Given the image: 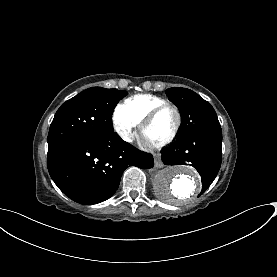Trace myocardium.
I'll return each mask as SVG.
<instances>
[{
	"label": "myocardium",
	"instance_id": "obj_1",
	"mask_svg": "<svg viewBox=\"0 0 277 277\" xmlns=\"http://www.w3.org/2000/svg\"><path fill=\"white\" fill-rule=\"evenodd\" d=\"M167 108H172L175 111L176 117H177L176 124H175L174 129L172 130L171 134L167 138L162 140L161 142L154 144L155 147H162L166 144H169L177 136V134L181 128V125H182V113H181L180 109L175 104H172L170 102L160 104V105L154 107L146 115L145 119L142 121V124L140 126V132H141V134H143L144 131L146 130V128H148L157 119V117L160 115V113Z\"/></svg>",
	"mask_w": 277,
	"mask_h": 277
}]
</instances>
